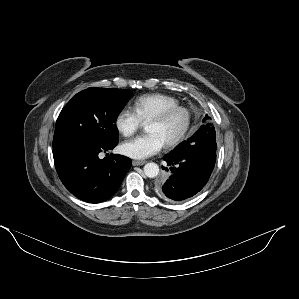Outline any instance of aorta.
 Returning a JSON list of instances; mask_svg holds the SVG:
<instances>
[{
	"label": "aorta",
	"mask_w": 299,
	"mask_h": 299,
	"mask_svg": "<svg viewBox=\"0 0 299 299\" xmlns=\"http://www.w3.org/2000/svg\"><path fill=\"white\" fill-rule=\"evenodd\" d=\"M158 173H159V166L156 163L150 162L144 166V174L147 177L154 178L158 175Z\"/></svg>",
	"instance_id": "762f6f07"
}]
</instances>
